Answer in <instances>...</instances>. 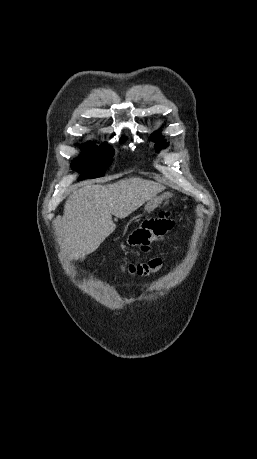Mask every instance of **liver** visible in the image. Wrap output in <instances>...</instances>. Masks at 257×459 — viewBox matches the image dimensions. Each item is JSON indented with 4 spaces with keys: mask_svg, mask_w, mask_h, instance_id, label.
<instances>
[{
    "mask_svg": "<svg viewBox=\"0 0 257 459\" xmlns=\"http://www.w3.org/2000/svg\"><path fill=\"white\" fill-rule=\"evenodd\" d=\"M165 187L142 178L107 185H87L74 191L64 205L59 241L69 258L94 252L115 230L112 215L123 219Z\"/></svg>",
    "mask_w": 257,
    "mask_h": 459,
    "instance_id": "6515ba94",
    "label": "liver"
}]
</instances>
